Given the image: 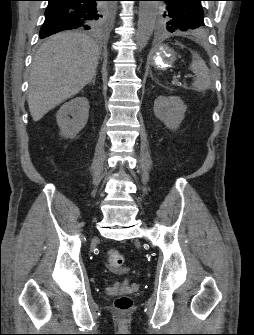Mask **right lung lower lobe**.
Segmentation results:
<instances>
[{
  "mask_svg": "<svg viewBox=\"0 0 254 335\" xmlns=\"http://www.w3.org/2000/svg\"><path fill=\"white\" fill-rule=\"evenodd\" d=\"M45 21L40 30V38H46L63 30L95 27L100 14L97 1L100 0H47Z\"/></svg>",
  "mask_w": 254,
  "mask_h": 335,
  "instance_id": "1",
  "label": "right lung lower lobe"
}]
</instances>
